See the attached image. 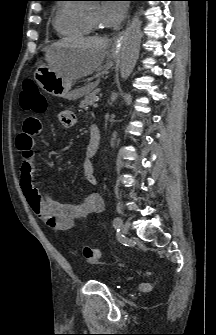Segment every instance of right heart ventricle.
<instances>
[{
	"label": "right heart ventricle",
	"instance_id": "obj_1",
	"mask_svg": "<svg viewBox=\"0 0 216 335\" xmlns=\"http://www.w3.org/2000/svg\"><path fill=\"white\" fill-rule=\"evenodd\" d=\"M73 1L59 4L54 17L53 27L60 37L79 38L89 35L92 29L85 21L84 13Z\"/></svg>",
	"mask_w": 216,
	"mask_h": 335
}]
</instances>
